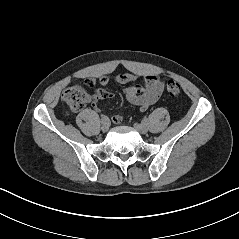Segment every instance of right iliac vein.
<instances>
[{
  "instance_id": "1",
  "label": "right iliac vein",
  "mask_w": 239,
  "mask_h": 239,
  "mask_svg": "<svg viewBox=\"0 0 239 239\" xmlns=\"http://www.w3.org/2000/svg\"><path fill=\"white\" fill-rule=\"evenodd\" d=\"M108 129H109V125H108V123H102V126H101V130H102V132H107L108 131Z\"/></svg>"
}]
</instances>
